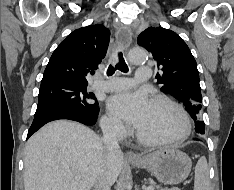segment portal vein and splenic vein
Listing matches in <instances>:
<instances>
[{
  "instance_id": "18ae733b",
  "label": "portal vein and splenic vein",
  "mask_w": 234,
  "mask_h": 190,
  "mask_svg": "<svg viewBox=\"0 0 234 190\" xmlns=\"http://www.w3.org/2000/svg\"><path fill=\"white\" fill-rule=\"evenodd\" d=\"M81 176H76L77 179H79ZM145 190H154V187L148 186L145 188Z\"/></svg>"
}]
</instances>
